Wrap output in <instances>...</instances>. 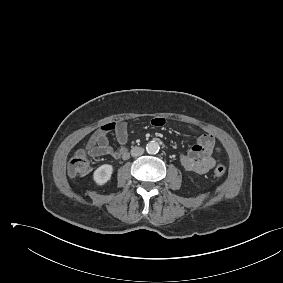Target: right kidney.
Wrapping results in <instances>:
<instances>
[{
	"label": "right kidney",
	"instance_id": "ca27d5eb",
	"mask_svg": "<svg viewBox=\"0 0 283 283\" xmlns=\"http://www.w3.org/2000/svg\"><path fill=\"white\" fill-rule=\"evenodd\" d=\"M113 173V166L110 164H104L98 167L93 174V180L97 185H104L110 179Z\"/></svg>",
	"mask_w": 283,
	"mask_h": 283
}]
</instances>
